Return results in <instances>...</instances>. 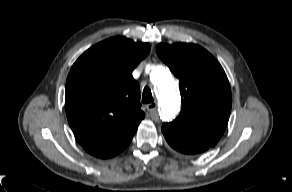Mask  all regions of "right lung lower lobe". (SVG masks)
Masks as SVG:
<instances>
[{
    "label": "right lung lower lobe",
    "mask_w": 292,
    "mask_h": 192,
    "mask_svg": "<svg viewBox=\"0 0 292 192\" xmlns=\"http://www.w3.org/2000/svg\"><path fill=\"white\" fill-rule=\"evenodd\" d=\"M133 136L113 145L105 146H84L83 148L93 156L98 158H110L122 152L131 142Z\"/></svg>",
    "instance_id": "98d812e1"
}]
</instances>
